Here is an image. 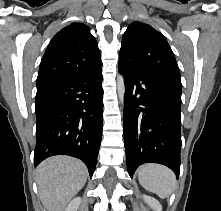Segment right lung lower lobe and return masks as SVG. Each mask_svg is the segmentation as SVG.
<instances>
[{
    "instance_id": "98d812e1",
    "label": "right lung lower lobe",
    "mask_w": 221,
    "mask_h": 211,
    "mask_svg": "<svg viewBox=\"0 0 221 211\" xmlns=\"http://www.w3.org/2000/svg\"><path fill=\"white\" fill-rule=\"evenodd\" d=\"M101 67L37 88L34 164L54 155L81 159L92 177L102 125Z\"/></svg>"
}]
</instances>
